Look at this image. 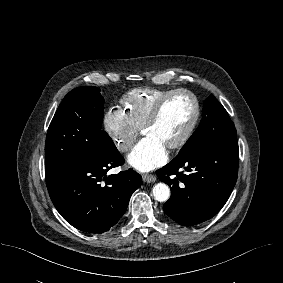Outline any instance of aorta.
Segmentation results:
<instances>
[{"label":"aorta","instance_id":"1","mask_svg":"<svg viewBox=\"0 0 283 283\" xmlns=\"http://www.w3.org/2000/svg\"><path fill=\"white\" fill-rule=\"evenodd\" d=\"M153 196L159 202H166L170 197V188L165 183H158L153 187Z\"/></svg>","mask_w":283,"mask_h":283}]
</instances>
